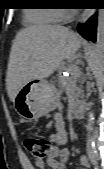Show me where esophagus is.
Returning a JSON list of instances; mask_svg holds the SVG:
<instances>
[{
	"mask_svg": "<svg viewBox=\"0 0 104 169\" xmlns=\"http://www.w3.org/2000/svg\"><path fill=\"white\" fill-rule=\"evenodd\" d=\"M93 12L94 11L92 9H86V10H84V12H83V14H82V16L80 18V22L87 21L91 17V15L93 14Z\"/></svg>",
	"mask_w": 104,
	"mask_h": 169,
	"instance_id": "obj_1",
	"label": "esophagus"
}]
</instances>
